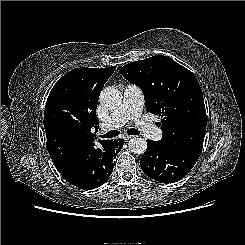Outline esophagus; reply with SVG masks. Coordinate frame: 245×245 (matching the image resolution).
I'll list each match as a JSON object with an SVG mask.
<instances>
[{
    "label": "esophagus",
    "instance_id": "1",
    "mask_svg": "<svg viewBox=\"0 0 245 245\" xmlns=\"http://www.w3.org/2000/svg\"><path fill=\"white\" fill-rule=\"evenodd\" d=\"M134 136H132V135H128V134H123L122 135V138L124 139V141H128V140H130L131 138H133Z\"/></svg>",
    "mask_w": 245,
    "mask_h": 245
}]
</instances>
